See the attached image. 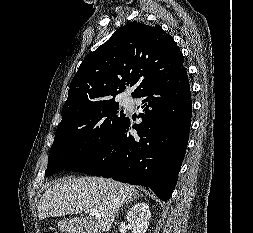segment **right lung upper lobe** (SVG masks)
<instances>
[{"instance_id":"obj_1","label":"right lung upper lobe","mask_w":253,"mask_h":233,"mask_svg":"<svg viewBox=\"0 0 253 233\" xmlns=\"http://www.w3.org/2000/svg\"><path fill=\"white\" fill-rule=\"evenodd\" d=\"M183 62L176 42L159 25L130 22L85 57L70 84L62 118L114 99L129 84L137 85L132 93L136 97L153 81L181 68Z\"/></svg>"}]
</instances>
